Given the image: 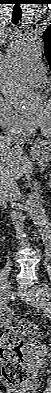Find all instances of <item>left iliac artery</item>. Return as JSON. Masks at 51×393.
<instances>
[{
    "mask_svg": "<svg viewBox=\"0 0 51 393\" xmlns=\"http://www.w3.org/2000/svg\"><path fill=\"white\" fill-rule=\"evenodd\" d=\"M43 289H45V290H47V297H48V299H50L49 298V293H48V291H49V287L47 286V285H43V286H41Z\"/></svg>",
    "mask_w": 51,
    "mask_h": 393,
    "instance_id": "1",
    "label": "left iliac artery"
}]
</instances>
